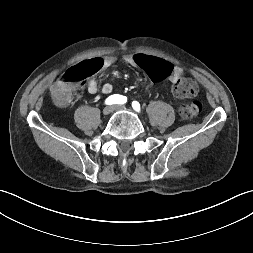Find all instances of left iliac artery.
Masks as SVG:
<instances>
[{"mask_svg": "<svg viewBox=\"0 0 253 253\" xmlns=\"http://www.w3.org/2000/svg\"><path fill=\"white\" fill-rule=\"evenodd\" d=\"M132 107H133V109H135L136 111H140V104H139V102L133 101V102H132Z\"/></svg>", "mask_w": 253, "mask_h": 253, "instance_id": "44dca946", "label": "left iliac artery"}]
</instances>
